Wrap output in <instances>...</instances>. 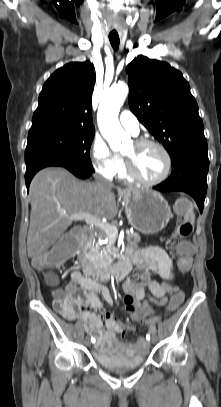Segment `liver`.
I'll return each mask as SVG.
<instances>
[{
  "label": "liver",
  "mask_w": 221,
  "mask_h": 407,
  "mask_svg": "<svg viewBox=\"0 0 221 407\" xmlns=\"http://www.w3.org/2000/svg\"><path fill=\"white\" fill-rule=\"evenodd\" d=\"M112 184L81 182L64 168L39 171L30 184L31 214L27 235L28 256L46 252L72 224L66 215L89 213L113 219L117 213ZM128 187L123 190H135Z\"/></svg>",
  "instance_id": "obj_1"
}]
</instances>
